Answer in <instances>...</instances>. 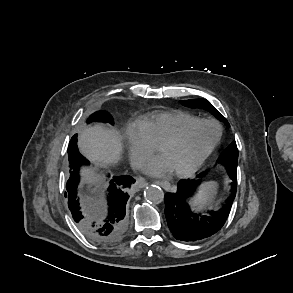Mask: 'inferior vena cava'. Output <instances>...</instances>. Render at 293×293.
<instances>
[{
  "mask_svg": "<svg viewBox=\"0 0 293 293\" xmlns=\"http://www.w3.org/2000/svg\"><path fill=\"white\" fill-rule=\"evenodd\" d=\"M131 164L134 168H141L144 165V161L141 157L133 156L131 159Z\"/></svg>",
  "mask_w": 293,
  "mask_h": 293,
  "instance_id": "1",
  "label": "inferior vena cava"
}]
</instances>
